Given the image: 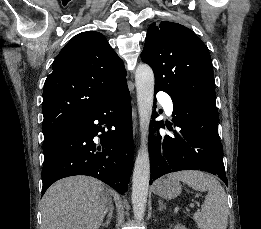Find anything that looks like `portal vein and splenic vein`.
Returning <instances> with one entry per match:
<instances>
[{
    "mask_svg": "<svg viewBox=\"0 0 261 229\" xmlns=\"http://www.w3.org/2000/svg\"><path fill=\"white\" fill-rule=\"evenodd\" d=\"M190 207H194L193 203H190ZM196 207H197V208H200V207H201V204H200V203H197V204H196ZM176 212H179V206H176ZM172 214H175V211H172Z\"/></svg>",
    "mask_w": 261,
    "mask_h": 229,
    "instance_id": "18ae733b",
    "label": "portal vein and splenic vein"
}]
</instances>
